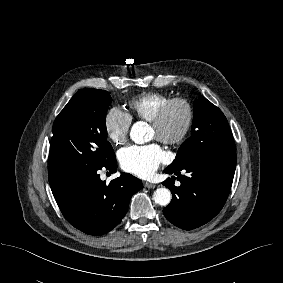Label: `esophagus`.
Returning <instances> with one entry per match:
<instances>
[{
    "label": "esophagus",
    "instance_id": "esophagus-1",
    "mask_svg": "<svg viewBox=\"0 0 283 283\" xmlns=\"http://www.w3.org/2000/svg\"><path fill=\"white\" fill-rule=\"evenodd\" d=\"M143 185H144V187L149 188V189H152V188H155V187H156L155 184L150 183V182H147V181H144V182H143Z\"/></svg>",
    "mask_w": 283,
    "mask_h": 283
}]
</instances>
